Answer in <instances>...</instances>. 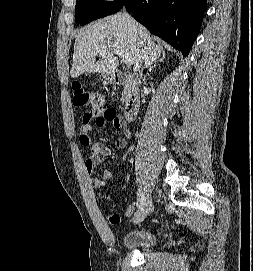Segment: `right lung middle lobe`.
<instances>
[{
    "mask_svg": "<svg viewBox=\"0 0 253 271\" xmlns=\"http://www.w3.org/2000/svg\"><path fill=\"white\" fill-rule=\"evenodd\" d=\"M127 0H76L75 21L85 25L93 20L118 12Z\"/></svg>",
    "mask_w": 253,
    "mask_h": 271,
    "instance_id": "obj_1",
    "label": "right lung middle lobe"
}]
</instances>
